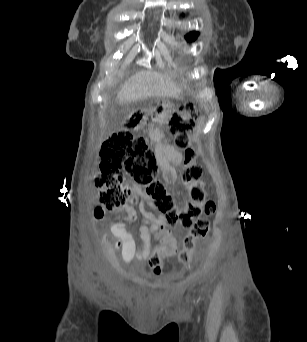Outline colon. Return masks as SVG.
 <instances>
[{
	"label": "colon",
	"mask_w": 307,
	"mask_h": 342,
	"mask_svg": "<svg viewBox=\"0 0 307 342\" xmlns=\"http://www.w3.org/2000/svg\"><path fill=\"white\" fill-rule=\"evenodd\" d=\"M198 113L194 107L186 106L174 111L169 119L170 133L175 145L183 151L180 180L189 187V201L186 204L177 203L166 190L165 184L155 176L158 172L156 157L141 136L133 135L124 130L114 132L102 145L100 150V168L95 175V185L99 190L98 215L103 218L119 215L129 197V190L122 184L123 174L132 177L145 188L149 198L153 200V208L163 214L172 226L181 224L189 229L182 240V250L179 260L183 264H192L191 252L196 243L209 234V222L200 217L202 211L211 216L217 205L214 199L205 200L204 183L201 181L202 168L196 163L199 150L190 145L191 132ZM129 212L127 218L132 219ZM162 236L163 243H156L150 264L155 275L161 273L160 254H178V239L171 235L167 226L154 229Z\"/></svg>",
	"instance_id": "5ec220e1"
}]
</instances>
